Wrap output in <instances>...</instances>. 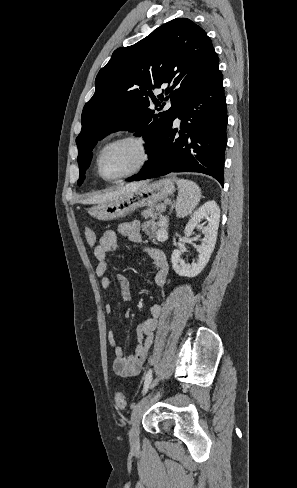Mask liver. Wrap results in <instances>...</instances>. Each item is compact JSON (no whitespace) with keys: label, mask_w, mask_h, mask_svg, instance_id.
<instances>
[{"label":"liver","mask_w":297,"mask_h":488,"mask_svg":"<svg viewBox=\"0 0 297 488\" xmlns=\"http://www.w3.org/2000/svg\"><path fill=\"white\" fill-rule=\"evenodd\" d=\"M146 184H148V181L131 182L121 188H117L115 190L105 192L103 194H97L91 197L90 199L86 200V202L97 203V204L109 202L115 200L123 193L135 191Z\"/></svg>","instance_id":"6515ba94"}]
</instances>
